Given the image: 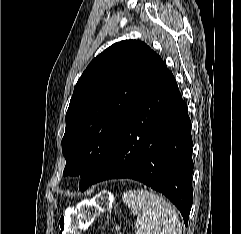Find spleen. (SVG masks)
<instances>
[{"mask_svg":"<svg viewBox=\"0 0 241 234\" xmlns=\"http://www.w3.org/2000/svg\"><path fill=\"white\" fill-rule=\"evenodd\" d=\"M122 199L137 215L136 234H182L175 209L153 191L130 190L123 194Z\"/></svg>","mask_w":241,"mask_h":234,"instance_id":"3e777b00","label":"spleen"}]
</instances>
